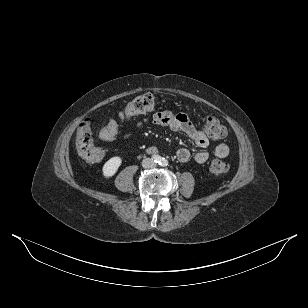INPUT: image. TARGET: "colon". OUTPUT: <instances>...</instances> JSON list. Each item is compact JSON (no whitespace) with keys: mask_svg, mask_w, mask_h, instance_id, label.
Segmentation results:
<instances>
[{"mask_svg":"<svg viewBox=\"0 0 308 308\" xmlns=\"http://www.w3.org/2000/svg\"><path fill=\"white\" fill-rule=\"evenodd\" d=\"M159 99L150 93L137 96L130 101L124 111V118H129L153 111L159 105ZM119 122L111 119L100 129L102 140L109 141L119 138ZM203 129L205 134L213 139L219 140L227 135L226 127L215 117L206 118ZM75 145L80 157L88 163L98 162L102 157V151L97 146L94 135L91 130V124L88 119L83 120L76 131ZM229 170V165L221 158H215L210 164V172L219 176Z\"/></svg>","mask_w":308,"mask_h":308,"instance_id":"1","label":"colon"}]
</instances>
